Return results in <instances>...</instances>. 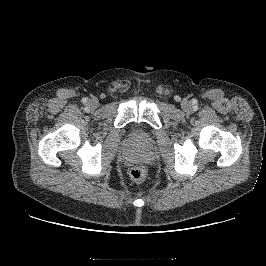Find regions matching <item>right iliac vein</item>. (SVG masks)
<instances>
[{
    "label": "right iliac vein",
    "mask_w": 266,
    "mask_h": 266,
    "mask_svg": "<svg viewBox=\"0 0 266 266\" xmlns=\"http://www.w3.org/2000/svg\"><path fill=\"white\" fill-rule=\"evenodd\" d=\"M88 105H89V107H90L91 109H96L97 106H98V102H97L96 100H90V101L88 102Z\"/></svg>",
    "instance_id": "obj_1"
}]
</instances>
